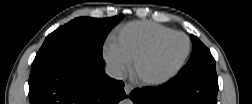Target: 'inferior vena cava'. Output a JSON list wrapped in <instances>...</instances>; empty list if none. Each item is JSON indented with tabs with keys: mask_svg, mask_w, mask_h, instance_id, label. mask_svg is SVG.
<instances>
[{
	"mask_svg": "<svg viewBox=\"0 0 252 104\" xmlns=\"http://www.w3.org/2000/svg\"><path fill=\"white\" fill-rule=\"evenodd\" d=\"M105 72L109 77L116 80H121L124 78L122 69L119 66L114 65V64H108L105 67Z\"/></svg>",
	"mask_w": 252,
	"mask_h": 104,
	"instance_id": "inferior-vena-cava-1",
	"label": "inferior vena cava"
}]
</instances>
